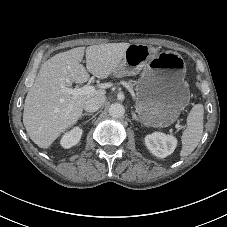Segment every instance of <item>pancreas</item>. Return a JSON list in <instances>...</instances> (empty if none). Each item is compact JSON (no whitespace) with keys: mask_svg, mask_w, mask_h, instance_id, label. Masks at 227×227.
Segmentation results:
<instances>
[{"mask_svg":"<svg viewBox=\"0 0 227 227\" xmlns=\"http://www.w3.org/2000/svg\"><path fill=\"white\" fill-rule=\"evenodd\" d=\"M127 85L132 88L134 86V82L132 80L127 82Z\"/></svg>","mask_w":227,"mask_h":227,"instance_id":"cf45deb5","label":"pancreas"}]
</instances>
